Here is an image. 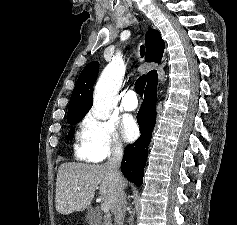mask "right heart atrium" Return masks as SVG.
<instances>
[{"label": "right heart atrium", "instance_id": "1", "mask_svg": "<svg viewBox=\"0 0 237 225\" xmlns=\"http://www.w3.org/2000/svg\"><path fill=\"white\" fill-rule=\"evenodd\" d=\"M124 148L120 134L112 121L88 113L80 123L76 154L89 162H101L119 157Z\"/></svg>", "mask_w": 237, "mask_h": 225}]
</instances>
